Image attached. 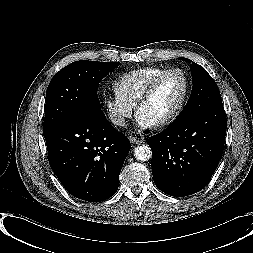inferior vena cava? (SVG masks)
<instances>
[{
  "instance_id": "obj_1",
  "label": "inferior vena cava",
  "mask_w": 253,
  "mask_h": 253,
  "mask_svg": "<svg viewBox=\"0 0 253 253\" xmlns=\"http://www.w3.org/2000/svg\"><path fill=\"white\" fill-rule=\"evenodd\" d=\"M111 121L118 126H125V118L122 116H115L111 119Z\"/></svg>"
}]
</instances>
